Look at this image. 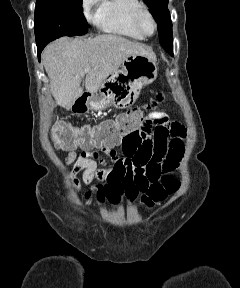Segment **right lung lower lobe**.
Wrapping results in <instances>:
<instances>
[{
    "label": "right lung lower lobe",
    "mask_w": 240,
    "mask_h": 288,
    "mask_svg": "<svg viewBox=\"0 0 240 288\" xmlns=\"http://www.w3.org/2000/svg\"><path fill=\"white\" fill-rule=\"evenodd\" d=\"M46 46V44H43V45H40V46H37V51H38V58L40 60V54L43 50V48Z\"/></svg>",
    "instance_id": "98d812e1"
}]
</instances>
